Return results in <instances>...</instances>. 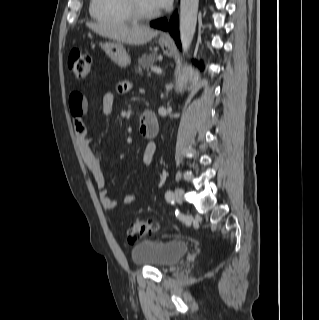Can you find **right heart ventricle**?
<instances>
[{"label": "right heart ventricle", "mask_w": 319, "mask_h": 320, "mask_svg": "<svg viewBox=\"0 0 319 320\" xmlns=\"http://www.w3.org/2000/svg\"><path fill=\"white\" fill-rule=\"evenodd\" d=\"M89 12L93 19L107 24L124 25L133 20L124 0H91Z\"/></svg>", "instance_id": "e07e8e85"}]
</instances>
